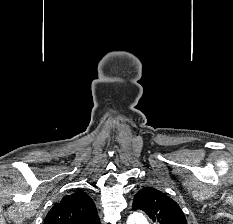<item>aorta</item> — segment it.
Segmentation results:
<instances>
[{
	"label": "aorta",
	"instance_id": "obj_1",
	"mask_svg": "<svg viewBox=\"0 0 233 224\" xmlns=\"http://www.w3.org/2000/svg\"><path fill=\"white\" fill-rule=\"evenodd\" d=\"M126 224H148V222L142 213L136 212L128 217Z\"/></svg>",
	"mask_w": 233,
	"mask_h": 224
}]
</instances>
